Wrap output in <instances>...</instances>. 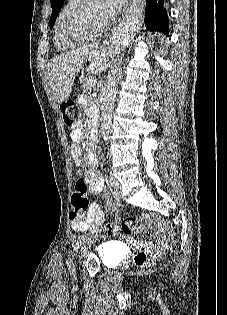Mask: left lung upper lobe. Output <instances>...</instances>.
Returning a JSON list of instances; mask_svg holds the SVG:
<instances>
[{
	"instance_id": "left-lung-upper-lobe-1",
	"label": "left lung upper lobe",
	"mask_w": 227,
	"mask_h": 315,
	"mask_svg": "<svg viewBox=\"0 0 227 315\" xmlns=\"http://www.w3.org/2000/svg\"><path fill=\"white\" fill-rule=\"evenodd\" d=\"M65 0H51L52 14L49 21L50 28L53 27L55 19L59 14Z\"/></svg>"
}]
</instances>
